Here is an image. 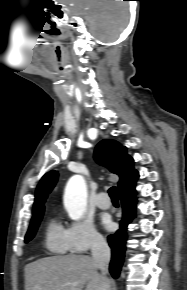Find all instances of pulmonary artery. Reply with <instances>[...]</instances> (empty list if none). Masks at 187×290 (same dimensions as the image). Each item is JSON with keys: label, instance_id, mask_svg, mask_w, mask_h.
<instances>
[{"label": "pulmonary artery", "instance_id": "e3ab8cb5", "mask_svg": "<svg viewBox=\"0 0 187 290\" xmlns=\"http://www.w3.org/2000/svg\"><path fill=\"white\" fill-rule=\"evenodd\" d=\"M95 204L101 209H108L111 205L106 192H100L95 198Z\"/></svg>", "mask_w": 187, "mask_h": 290}]
</instances>
